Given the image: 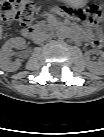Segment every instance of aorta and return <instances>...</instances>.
Listing matches in <instances>:
<instances>
[{
    "label": "aorta",
    "instance_id": "1",
    "mask_svg": "<svg viewBox=\"0 0 104 137\" xmlns=\"http://www.w3.org/2000/svg\"><path fill=\"white\" fill-rule=\"evenodd\" d=\"M57 36L60 38V39H66L69 37V31L65 28H61L57 31Z\"/></svg>",
    "mask_w": 104,
    "mask_h": 137
}]
</instances>
